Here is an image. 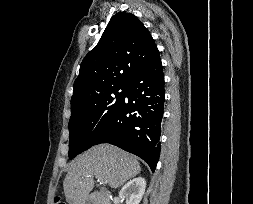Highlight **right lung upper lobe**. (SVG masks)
<instances>
[{
  "label": "right lung upper lobe",
  "instance_id": "obj_1",
  "mask_svg": "<svg viewBox=\"0 0 253 204\" xmlns=\"http://www.w3.org/2000/svg\"><path fill=\"white\" fill-rule=\"evenodd\" d=\"M156 50L151 34L135 15L115 14L81 63L71 108L111 89L126 87Z\"/></svg>",
  "mask_w": 253,
  "mask_h": 204
}]
</instances>
